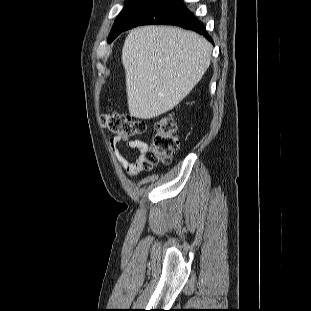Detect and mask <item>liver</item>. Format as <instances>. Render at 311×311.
I'll return each instance as SVG.
<instances>
[{"label": "liver", "mask_w": 311, "mask_h": 311, "mask_svg": "<svg viewBox=\"0 0 311 311\" xmlns=\"http://www.w3.org/2000/svg\"><path fill=\"white\" fill-rule=\"evenodd\" d=\"M212 45L192 31L144 26L125 39L122 63L131 116L157 117L177 106L210 65Z\"/></svg>", "instance_id": "liver-1"}]
</instances>
